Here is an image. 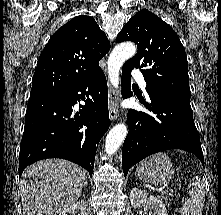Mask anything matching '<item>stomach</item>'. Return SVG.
I'll return each instance as SVG.
<instances>
[{
	"instance_id": "1",
	"label": "stomach",
	"mask_w": 221,
	"mask_h": 215,
	"mask_svg": "<svg viewBox=\"0 0 221 215\" xmlns=\"http://www.w3.org/2000/svg\"><path fill=\"white\" fill-rule=\"evenodd\" d=\"M174 173V167L165 153L147 158L136 169V174L141 181L154 185L166 184L172 179Z\"/></svg>"
}]
</instances>
